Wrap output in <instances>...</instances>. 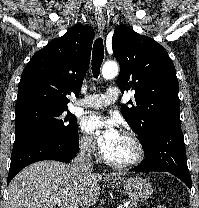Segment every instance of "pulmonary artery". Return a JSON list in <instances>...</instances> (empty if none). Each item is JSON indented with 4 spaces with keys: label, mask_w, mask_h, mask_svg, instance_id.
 Here are the masks:
<instances>
[{
    "label": "pulmonary artery",
    "mask_w": 199,
    "mask_h": 208,
    "mask_svg": "<svg viewBox=\"0 0 199 208\" xmlns=\"http://www.w3.org/2000/svg\"><path fill=\"white\" fill-rule=\"evenodd\" d=\"M120 96V91L115 88H109L105 93L88 95L75 101L77 107L95 108L107 107L115 102Z\"/></svg>",
    "instance_id": "pulmonary-artery-1"
}]
</instances>
